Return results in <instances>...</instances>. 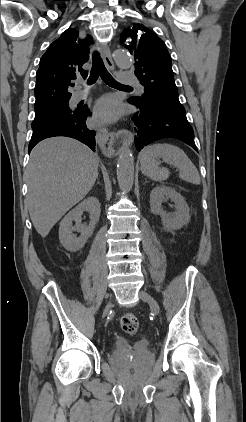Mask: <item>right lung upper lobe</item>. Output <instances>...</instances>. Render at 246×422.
Here are the masks:
<instances>
[{"instance_id":"right-lung-upper-lobe-1","label":"right lung upper lobe","mask_w":246,"mask_h":422,"mask_svg":"<svg viewBox=\"0 0 246 422\" xmlns=\"http://www.w3.org/2000/svg\"><path fill=\"white\" fill-rule=\"evenodd\" d=\"M78 31L67 29L55 40L40 59L36 73L35 109L69 101L71 93L68 87L77 76L86 77L87 71L82 65L89 58L91 37L77 40Z\"/></svg>"}]
</instances>
